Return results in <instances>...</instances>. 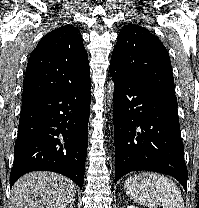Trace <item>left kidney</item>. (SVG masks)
<instances>
[{
	"label": "left kidney",
	"mask_w": 199,
	"mask_h": 208,
	"mask_svg": "<svg viewBox=\"0 0 199 208\" xmlns=\"http://www.w3.org/2000/svg\"><path fill=\"white\" fill-rule=\"evenodd\" d=\"M127 208H138V207L133 206V205H128Z\"/></svg>",
	"instance_id": "5707ae66"
}]
</instances>
